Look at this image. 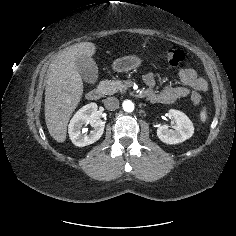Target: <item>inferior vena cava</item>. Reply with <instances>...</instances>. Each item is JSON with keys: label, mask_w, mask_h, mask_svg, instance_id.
<instances>
[{"label": "inferior vena cava", "mask_w": 236, "mask_h": 236, "mask_svg": "<svg viewBox=\"0 0 236 236\" xmlns=\"http://www.w3.org/2000/svg\"><path fill=\"white\" fill-rule=\"evenodd\" d=\"M103 103L108 110H116L119 107V100L116 97H108L103 100Z\"/></svg>", "instance_id": "1"}]
</instances>
